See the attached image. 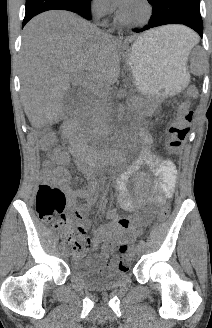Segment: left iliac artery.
<instances>
[{"label":"left iliac artery","mask_w":212,"mask_h":328,"mask_svg":"<svg viewBox=\"0 0 212 328\" xmlns=\"http://www.w3.org/2000/svg\"><path fill=\"white\" fill-rule=\"evenodd\" d=\"M140 245L145 246L146 242L144 240H140Z\"/></svg>","instance_id":"obj_1"}]
</instances>
